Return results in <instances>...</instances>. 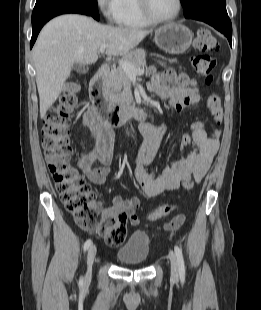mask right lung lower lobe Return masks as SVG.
Returning <instances> with one entry per match:
<instances>
[{
    "mask_svg": "<svg viewBox=\"0 0 261 310\" xmlns=\"http://www.w3.org/2000/svg\"><path fill=\"white\" fill-rule=\"evenodd\" d=\"M66 13H79V14L89 15L87 12L77 10V9H69V8L50 9V10L40 13L35 18H32V38L30 42V48H32L34 42L36 41L39 31L41 30V28L47 21H49L51 18L55 16L66 14Z\"/></svg>",
    "mask_w": 261,
    "mask_h": 310,
    "instance_id": "98d812e1",
    "label": "right lung lower lobe"
}]
</instances>
